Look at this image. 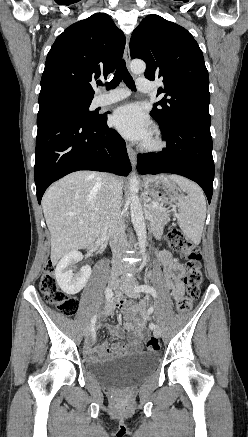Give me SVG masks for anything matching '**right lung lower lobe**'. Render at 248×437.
Segmentation results:
<instances>
[{"label":"right lung lower lobe","mask_w":248,"mask_h":437,"mask_svg":"<svg viewBox=\"0 0 248 437\" xmlns=\"http://www.w3.org/2000/svg\"><path fill=\"white\" fill-rule=\"evenodd\" d=\"M35 150V184L40 204L48 186L78 170L131 171L126 144L107 126V116L88 120L66 107L39 108Z\"/></svg>","instance_id":"98d812e1"}]
</instances>
